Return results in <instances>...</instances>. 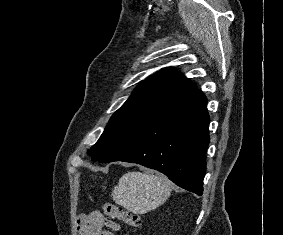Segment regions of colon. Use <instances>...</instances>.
I'll list each match as a JSON object with an SVG mask.
<instances>
[{
    "label": "colon",
    "mask_w": 283,
    "mask_h": 235,
    "mask_svg": "<svg viewBox=\"0 0 283 235\" xmlns=\"http://www.w3.org/2000/svg\"><path fill=\"white\" fill-rule=\"evenodd\" d=\"M104 213L108 218L118 220L131 227H139L142 224V218L139 215L126 211L110 202L104 204Z\"/></svg>",
    "instance_id": "obj_1"
}]
</instances>
